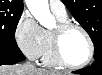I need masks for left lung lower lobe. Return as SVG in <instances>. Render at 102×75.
Masks as SVG:
<instances>
[{
	"label": "left lung lower lobe",
	"instance_id": "1",
	"mask_svg": "<svg viewBox=\"0 0 102 75\" xmlns=\"http://www.w3.org/2000/svg\"><path fill=\"white\" fill-rule=\"evenodd\" d=\"M74 73L82 75H102V57L96 58L91 66L74 71Z\"/></svg>",
	"mask_w": 102,
	"mask_h": 75
}]
</instances>
